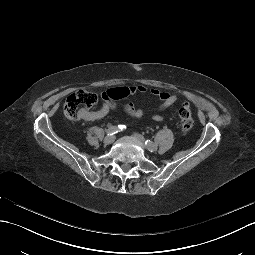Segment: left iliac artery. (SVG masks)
<instances>
[{
  "instance_id": "obj_1",
  "label": "left iliac artery",
  "mask_w": 255,
  "mask_h": 255,
  "mask_svg": "<svg viewBox=\"0 0 255 255\" xmlns=\"http://www.w3.org/2000/svg\"><path fill=\"white\" fill-rule=\"evenodd\" d=\"M145 144H146L148 147H152V146L156 145V144L153 143L151 140H146V141H145Z\"/></svg>"
}]
</instances>
